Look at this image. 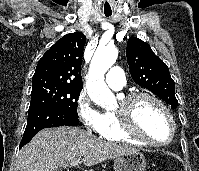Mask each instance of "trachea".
<instances>
[{
    "label": "trachea",
    "instance_id": "trachea-1",
    "mask_svg": "<svg viewBox=\"0 0 199 171\" xmlns=\"http://www.w3.org/2000/svg\"><path fill=\"white\" fill-rule=\"evenodd\" d=\"M104 14H105L106 17H109V16H111L112 13L111 12H104Z\"/></svg>",
    "mask_w": 199,
    "mask_h": 171
}]
</instances>
